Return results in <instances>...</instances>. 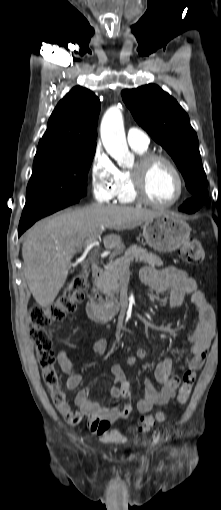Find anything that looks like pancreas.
<instances>
[{
	"mask_svg": "<svg viewBox=\"0 0 221 510\" xmlns=\"http://www.w3.org/2000/svg\"><path fill=\"white\" fill-rule=\"evenodd\" d=\"M134 260L146 263L151 267L163 265V261L156 254L137 245L130 246L122 257L111 260L107 264L98 279L97 286L107 297L114 298L118 295L122 272L128 269Z\"/></svg>",
	"mask_w": 221,
	"mask_h": 510,
	"instance_id": "pancreas-1",
	"label": "pancreas"
}]
</instances>
